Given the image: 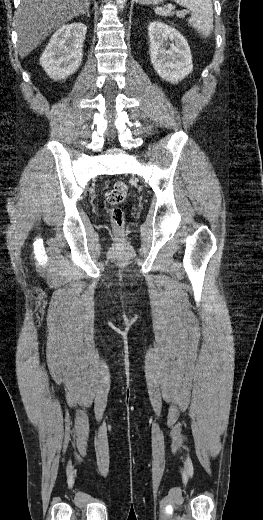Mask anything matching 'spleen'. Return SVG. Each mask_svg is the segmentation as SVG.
<instances>
[{
  "label": "spleen",
  "mask_w": 263,
  "mask_h": 520,
  "mask_svg": "<svg viewBox=\"0 0 263 520\" xmlns=\"http://www.w3.org/2000/svg\"><path fill=\"white\" fill-rule=\"evenodd\" d=\"M179 5L192 11L189 24L204 38L213 30V5L211 0H174ZM155 13L159 16H172L169 8L156 7Z\"/></svg>",
  "instance_id": "1"
}]
</instances>
